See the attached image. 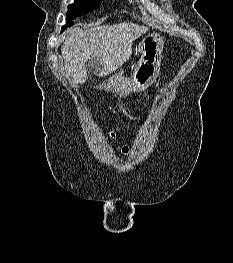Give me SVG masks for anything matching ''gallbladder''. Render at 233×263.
Listing matches in <instances>:
<instances>
[{
  "label": "gallbladder",
  "instance_id": "gallbladder-1",
  "mask_svg": "<svg viewBox=\"0 0 233 263\" xmlns=\"http://www.w3.org/2000/svg\"><path fill=\"white\" fill-rule=\"evenodd\" d=\"M95 65H96V60H89L87 64V70L94 72L95 71Z\"/></svg>",
  "mask_w": 233,
  "mask_h": 263
}]
</instances>
